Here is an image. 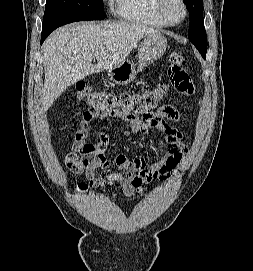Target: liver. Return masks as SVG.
<instances>
[{"label": "liver", "instance_id": "1", "mask_svg": "<svg viewBox=\"0 0 253 271\" xmlns=\"http://www.w3.org/2000/svg\"><path fill=\"white\" fill-rule=\"evenodd\" d=\"M156 32L134 22H78L55 30L42 47V109L47 111L70 85L122 64L143 37Z\"/></svg>", "mask_w": 253, "mask_h": 271}]
</instances>
